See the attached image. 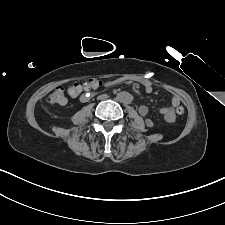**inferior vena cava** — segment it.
<instances>
[{
	"mask_svg": "<svg viewBox=\"0 0 225 225\" xmlns=\"http://www.w3.org/2000/svg\"><path fill=\"white\" fill-rule=\"evenodd\" d=\"M98 98L99 99H106V98H108V95L104 94V95L99 96Z\"/></svg>",
	"mask_w": 225,
	"mask_h": 225,
	"instance_id": "inferior-vena-cava-1",
	"label": "inferior vena cava"
}]
</instances>
